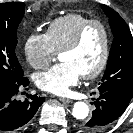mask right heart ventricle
Returning a JSON list of instances; mask_svg holds the SVG:
<instances>
[{
	"label": "right heart ventricle",
	"instance_id": "e07e8e85",
	"mask_svg": "<svg viewBox=\"0 0 133 133\" xmlns=\"http://www.w3.org/2000/svg\"><path fill=\"white\" fill-rule=\"evenodd\" d=\"M88 20L90 19L82 14L69 13L50 22L46 35L55 51H61L77 30Z\"/></svg>",
	"mask_w": 133,
	"mask_h": 133
}]
</instances>
